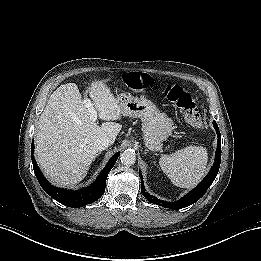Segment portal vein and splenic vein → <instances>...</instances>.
<instances>
[{
  "instance_id": "1",
  "label": "portal vein and splenic vein",
  "mask_w": 261,
  "mask_h": 261,
  "mask_svg": "<svg viewBox=\"0 0 261 261\" xmlns=\"http://www.w3.org/2000/svg\"><path fill=\"white\" fill-rule=\"evenodd\" d=\"M84 104H85V107L88 109V111L90 113V119L93 122H96V120H97V111L93 107V104L91 103L90 99L84 100Z\"/></svg>"
}]
</instances>
